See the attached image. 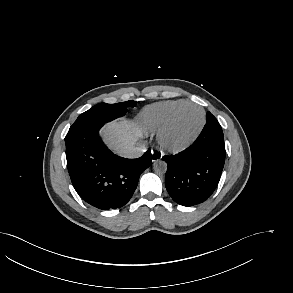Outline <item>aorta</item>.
Listing matches in <instances>:
<instances>
[{
	"mask_svg": "<svg viewBox=\"0 0 293 293\" xmlns=\"http://www.w3.org/2000/svg\"><path fill=\"white\" fill-rule=\"evenodd\" d=\"M153 169L158 174H164L167 171V164L162 160H156Z\"/></svg>",
	"mask_w": 293,
	"mask_h": 293,
	"instance_id": "obj_1",
	"label": "aorta"
}]
</instances>
